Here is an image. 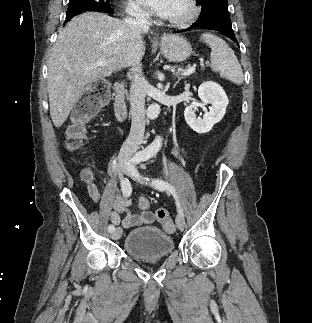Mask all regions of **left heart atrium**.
I'll list each match as a JSON object with an SVG mask.
<instances>
[{
	"label": "left heart atrium",
	"mask_w": 312,
	"mask_h": 323,
	"mask_svg": "<svg viewBox=\"0 0 312 323\" xmlns=\"http://www.w3.org/2000/svg\"><path fill=\"white\" fill-rule=\"evenodd\" d=\"M140 8H152L153 12H171V0H134Z\"/></svg>",
	"instance_id": "1"
}]
</instances>
